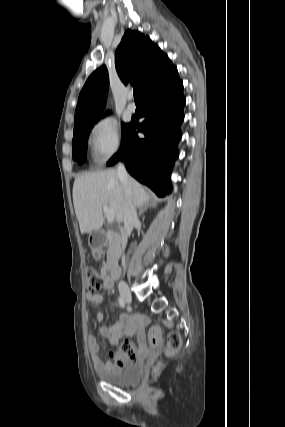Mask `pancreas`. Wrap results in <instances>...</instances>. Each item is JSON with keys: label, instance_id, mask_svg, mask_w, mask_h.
I'll return each mask as SVG.
<instances>
[{"label": "pancreas", "instance_id": "cf45deb5", "mask_svg": "<svg viewBox=\"0 0 285 427\" xmlns=\"http://www.w3.org/2000/svg\"><path fill=\"white\" fill-rule=\"evenodd\" d=\"M107 244L109 246L108 250V256L111 254V249L113 247H119L120 246V236L118 233L113 231H108L107 233Z\"/></svg>", "mask_w": 285, "mask_h": 427}]
</instances>
